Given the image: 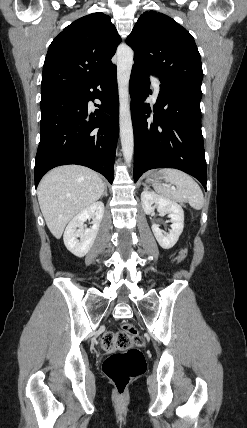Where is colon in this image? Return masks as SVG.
<instances>
[{
  "label": "colon",
  "mask_w": 247,
  "mask_h": 428,
  "mask_svg": "<svg viewBox=\"0 0 247 428\" xmlns=\"http://www.w3.org/2000/svg\"><path fill=\"white\" fill-rule=\"evenodd\" d=\"M187 255L188 249H182L178 263L183 262ZM143 345V338L131 323L124 324L117 332H106L102 336L101 346L104 350H119L109 355L103 363V372L119 395L145 370L144 356L139 349Z\"/></svg>",
  "instance_id": "obj_1"
}]
</instances>
